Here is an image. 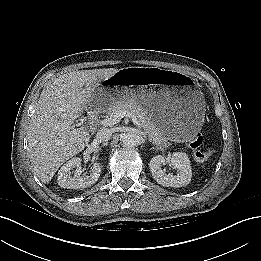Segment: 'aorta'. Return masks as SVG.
<instances>
[{"label": "aorta", "mask_w": 261, "mask_h": 261, "mask_svg": "<svg viewBox=\"0 0 261 261\" xmlns=\"http://www.w3.org/2000/svg\"><path fill=\"white\" fill-rule=\"evenodd\" d=\"M120 141L123 147L133 148L140 142V136L134 132H127L121 135Z\"/></svg>", "instance_id": "1"}]
</instances>
